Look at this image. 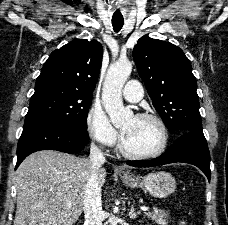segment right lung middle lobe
I'll use <instances>...</instances> for the list:
<instances>
[{"label":"right lung middle lobe","instance_id":"obj_1","mask_svg":"<svg viewBox=\"0 0 228 225\" xmlns=\"http://www.w3.org/2000/svg\"><path fill=\"white\" fill-rule=\"evenodd\" d=\"M93 94L60 84L35 86L25 122L58 120L87 130V115Z\"/></svg>","mask_w":228,"mask_h":225}]
</instances>
